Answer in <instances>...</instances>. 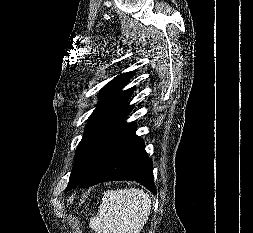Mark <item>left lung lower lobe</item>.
Listing matches in <instances>:
<instances>
[{
    "instance_id": "obj_1",
    "label": "left lung lower lobe",
    "mask_w": 253,
    "mask_h": 233,
    "mask_svg": "<svg viewBox=\"0 0 253 233\" xmlns=\"http://www.w3.org/2000/svg\"><path fill=\"white\" fill-rule=\"evenodd\" d=\"M135 128L124 119L101 149L88 174L66 190L87 188L106 181L131 180L156 194L153 164L144 150L143 140L135 135Z\"/></svg>"
}]
</instances>
